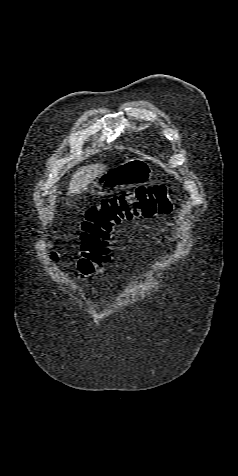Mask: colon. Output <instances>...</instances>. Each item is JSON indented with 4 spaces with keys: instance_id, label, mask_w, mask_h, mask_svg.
Wrapping results in <instances>:
<instances>
[{
    "instance_id": "5ec220e1",
    "label": "colon",
    "mask_w": 238,
    "mask_h": 476,
    "mask_svg": "<svg viewBox=\"0 0 238 476\" xmlns=\"http://www.w3.org/2000/svg\"><path fill=\"white\" fill-rule=\"evenodd\" d=\"M174 202L165 185L155 184L104 198L91 206L81 223L82 246L77 276H92L109 261L110 237L118 224L167 214Z\"/></svg>"
}]
</instances>
